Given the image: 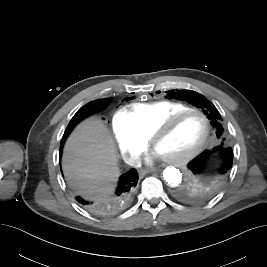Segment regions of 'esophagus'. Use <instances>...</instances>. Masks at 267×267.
<instances>
[{
  "mask_svg": "<svg viewBox=\"0 0 267 267\" xmlns=\"http://www.w3.org/2000/svg\"><path fill=\"white\" fill-rule=\"evenodd\" d=\"M153 171H155V168H150V169H146V170H140L139 171V174L141 176H144L145 174L150 173V172H153Z\"/></svg>",
  "mask_w": 267,
  "mask_h": 267,
  "instance_id": "obj_1",
  "label": "esophagus"
}]
</instances>
